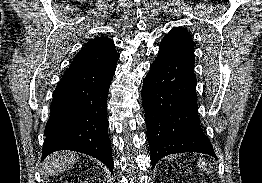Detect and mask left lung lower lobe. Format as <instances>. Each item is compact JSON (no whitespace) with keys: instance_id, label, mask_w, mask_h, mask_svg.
<instances>
[{"instance_id":"1","label":"left lung lower lobe","mask_w":262,"mask_h":183,"mask_svg":"<svg viewBox=\"0 0 262 183\" xmlns=\"http://www.w3.org/2000/svg\"><path fill=\"white\" fill-rule=\"evenodd\" d=\"M152 169L164 156L216 154L201 128L194 61L159 50L141 91Z\"/></svg>"}]
</instances>
